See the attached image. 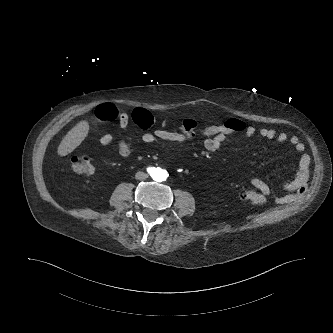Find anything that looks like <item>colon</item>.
<instances>
[{"mask_svg": "<svg viewBox=\"0 0 333 333\" xmlns=\"http://www.w3.org/2000/svg\"><path fill=\"white\" fill-rule=\"evenodd\" d=\"M96 118L100 122H110L118 117V110L113 104L100 105L95 112ZM246 125L239 119H229L220 124L199 125L194 120L185 119L177 125V129L185 135L197 137H223L227 138L231 133L243 131ZM69 168L78 174H92L94 166L91 160L85 156H72ZM245 200L255 204L263 205L266 203L265 195L255 190H245L242 193Z\"/></svg>", "mask_w": 333, "mask_h": 333, "instance_id": "obj_1", "label": "colon"}]
</instances>
